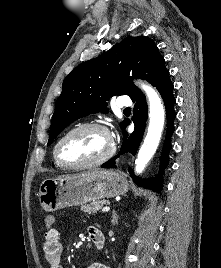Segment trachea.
<instances>
[{
    "label": "trachea",
    "mask_w": 221,
    "mask_h": 268,
    "mask_svg": "<svg viewBox=\"0 0 221 268\" xmlns=\"http://www.w3.org/2000/svg\"><path fill=\"white\" fill-rule=\"evenodd\" d=\"M124 111H131V108H126L124 109Z\"/></svg>",
    "instance_id": "3493384b"
}]
</instances>
